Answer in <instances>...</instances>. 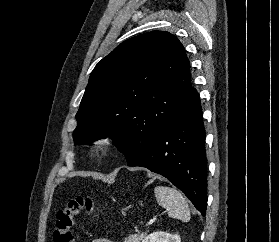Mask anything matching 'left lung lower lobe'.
<instances>
[{
  "label": "left lung lower lobe",
  "instance_id": "0a47b994",
  "mask_svg": "<svg viewBox=\"0 0 279 242\" xmlns=\"http://www.w3.org/2000/svg\"><path fill=\"white\" fill-rule=\"evenodd\" d=\"M128 166H140L170 180L202 215L207 207V158L200 98L192 87L164 129Z\"/></svg>",
  "mask_w": 279,
  "mask_h": 242
}]
</instances>
